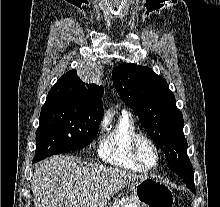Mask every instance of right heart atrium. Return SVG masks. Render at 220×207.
Wrapping results in <instances>:
<instances>
[{
	"label": "right heart atrium",
	"instance_id": "d8ad5b80",
	"mask_svg": "<svg viewBox=\"0 0 220 207\" xmlns=\"http://www.w3.org/2000/svg\"><path fill=\"white\" fill-rule=\"evenodd\" d=\"M103 127V123L100 125V128H102Z\"/></svg>",
	"mask_w": 220,
	"mask_h": 207
}]
</instances>
